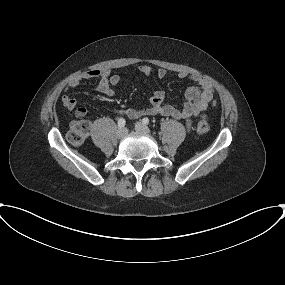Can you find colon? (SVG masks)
I'll return each mask as SVG.
<instances>
[{
  "label": "colon",
  "mask_w": 285,
  "mask_h": 285,
  "mask_svg": "<svg viewBox=\"0 0 285 285\" xmlns=\"http://www.w3.org/2000/svg\"><path fill=\"white\" fill-rule=\"evenodd\" d=\"M196 130L200 135H204L209 131V123L205 115L200 117ZM90 131V123L82 117H78L70 123L67 140L73 146H80L85 142Z\"/></svg>",
  "instance_id": "1"
}]
</instances>
